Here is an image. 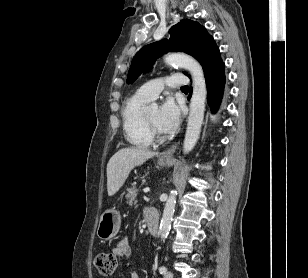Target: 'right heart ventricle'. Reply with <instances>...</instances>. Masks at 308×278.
<instances>
[{"mask_svg": "<svg viewBox=\"0 0 308 278\" xmlns=\"http://www.w3.org/2000/svg\"><path fill=\"white\" fill-rule=\"evenodd\" d=\"M149 101L135 93L126 99L122 108L125 137L130 144L139 148H147L153 142V135L144 121V107Z\"/></svg>", "mask_w": 308, "mask_h": 278, "instance_id": "1", "label": "right heart ventricle"}]
</instances>
